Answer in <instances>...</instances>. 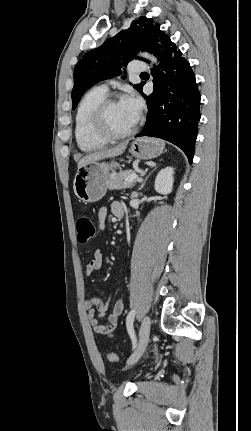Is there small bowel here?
Segmentation results:
<instances>
[{
    "mask_svg": "<svg viewBox=\"0 0 251 431\" xmlns=\"http://www.w3.org/2000/svg\"><path fill=\"white\" fill-rule=\"evenodd\" d=\"M111 212L119 217L120 214H124V208L121 203L114 202L111 205ZM107 215V209L101 208L99 211V227L101 230L105 228V219ZM103 254L104 249L98 247L94 251L93 258L87 263L85 268V276L89 277L94 271L100 269L103 265ZM111 297L106 301H103L97 297H91L85 292L83 300V306L87 312V319L92 326L94 332L100 335H112L118 326L119 317L121 316L124 303L122 300H117L109 312ZM106 319V323H102V319Z\"/></svg>",
    "mask_w": 251,
    "mask_h": 431,
    "instance_id": "small-bowel-1",
    "label": "small bowel"
}]
</instances>
